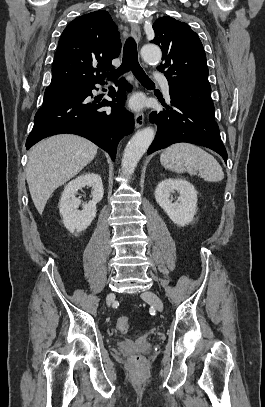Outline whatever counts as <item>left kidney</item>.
<instances>
[{"label":"left kidney","mask_w":265,"mask_h":407,"mask_svg":"<svg viewBox=\"0 0 265 407\" xmlns=\"http://www.w3.org/2000/svg\"><path fill=\"white\" fill-rule=\"evenodd\" d=\"M175 191L180 197L173 203L170 196ZM155 199L175 224L185 226L193 221L197 210V191L190 182L180 178L165 179L157 185Z\"/></svg>","instance_id":"1"}]
</instances>
